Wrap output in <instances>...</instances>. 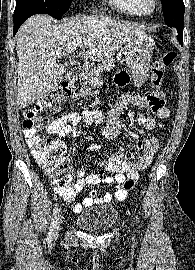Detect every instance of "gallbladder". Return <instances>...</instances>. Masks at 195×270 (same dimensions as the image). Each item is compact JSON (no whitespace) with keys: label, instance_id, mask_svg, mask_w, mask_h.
Listing matches in <instances>:
<instances>
[{"label":"gallbladder","instance_id":"1","mask_svg":"<svg viewBox=\"0 0 195 270\" xmlns=\"http://www.w3.org/2000/svg\"><path fill=\"white\" fill-rule=\"evenodd\" d=\"M64 67H65V77L66 78L76 77L80 73L78 64H76L74 62L67 63Z\"/></svg>","mask_w":195,"mask_h":270}]
</instances>
